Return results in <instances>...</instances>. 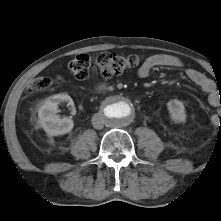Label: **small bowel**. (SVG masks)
I'll return each mask as SVG.
<instances>
[{"label":"small bowel","mask_w":221,"mask_h":221,"mask_svg":"<svg viewBox=\"0 0 221 221\" xmlns=\"http://www.w3.org/2000/svg\"><path fill=\"white\" fill-rule=\"evenodd\" d=\"M157 67L180 68L182 62L175 56L168 54H154L147 57L138 70V76L145 78ZM188 78L207 94L209 105L216 107L221 104L220 94L217 93L215 83L202 72L196 69L187 70Z\"/></svg>","instance_id":"small-bowel-1"}]
</instances>
